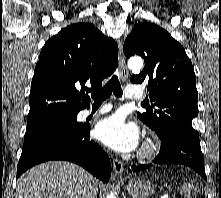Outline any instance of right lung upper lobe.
Masks as SVG:
<instances>
[{"label":"right lung upper lobe","instance_id":"obj_1","mask_svg":"<svg viewBox=\"0 0 221 198\" xmlns=\"http://www.w3.org/2000/svg\"><path fill=\"white\" fill-rule=\"evenodd\" d=\"M117 64V44L93 24L76 23L62 29L40 53L31 83L28 122L88 108L87 93L101 88Z\"/></svg>","mask_w":221,"mask_h":198}]
</instances>
